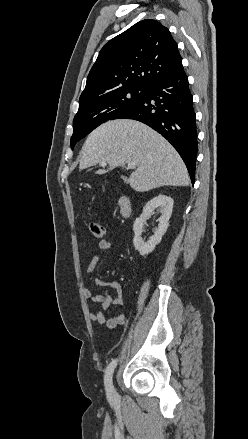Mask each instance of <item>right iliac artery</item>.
Instances as JSON below:
<instances>
[{"mask_svg":"<svg viewBox=\"0 0 248 439\" xmlns=\"http://www.w3.org/2000/svg\"><path fill=\"white\" fill-rule=\"evenodd\" d=\"M118 360L114 359L110 362V364L107 366L104 376V384L105 389L108 394H111L113 391V385H112V375L114 372V369L117 365Z\"/></svg>","mask_w":248,"mask_h":439,"instance_id":"obj_1","label":"right iliac artery"}]
</instances>
